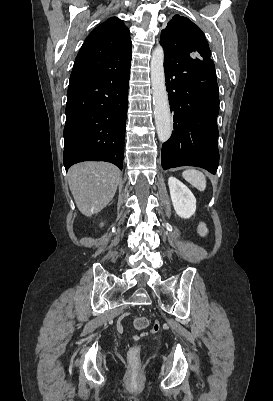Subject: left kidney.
<instances>
[{"label": "left kidney", "instance_id": "obj_1", "mask_svg": "<svg viewBox=\"0 0 273 401\" xmlns=\"http://www.w3.org/2000/svg\"><path fill=\"white\" fill-rule=\"evenodd\" d=\"M168 184L171 201L177 215L182 219H190L196 211V198L193 192L175 176H169Z\"/></svg>", "mask_w": 273, "mask_h": 401}]
</instances>
